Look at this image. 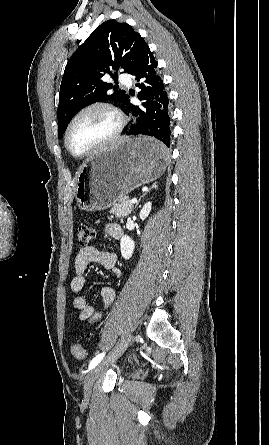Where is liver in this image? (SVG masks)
Returning a JSON list of instances; mask_svg holds the SVG:
<instances>
[{
    "label": "liver",
    "instance_id": "obj_1",
    "mask_svg": "<svg viewBox=\"0 0 269 445\" xmlns=\"http://www.w3.org/2000/svg\"><path fill=\"white\" fill-rule=\"evenodd\" d=\"M126 139H127V137H121L117 140L116 144L121 143V142L125 141Z\"/></svg>",
    "mask_w": 269,
    "mask_h": 445
}]
</instances>
